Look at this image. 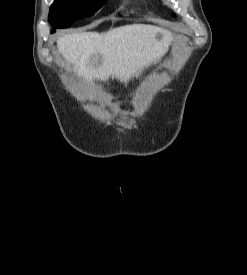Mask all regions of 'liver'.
Returning <instances> with one entry per match:
<instances>
[{
	"label": "liver",
	"instance_id": "obj_1",
	"mask_svg": "<svg viewBox=\"0 0 247 275\" xmlns=\"http://www.w3.org/2000/svg\"><path fill=\"white\" fill-rule=\"evenodd\" d=\"M172 40L171 33L161 27L131 24L104 33L66 34L57 40V47L79 77L87 81L111 77L127 84L159 62Z\"/></svg>",
	"mask_w": 247,
	"mask_h": 275
}]
</instances>
